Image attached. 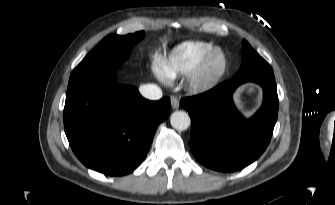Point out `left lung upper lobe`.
<instances>
[{
	"label": "left lung upper lobe",
	"instance_id": "5c2ea615",
	"mask_svg": "<svg viewBox=\"0 0 335 205\" xmlns=\"http://www.w3.org/2000/svg\"><path fill=\"white\" fill-rule=\"evenodd\" d=\"M242 53V65L234 78L259 76L275 79L270 65L253 50V48L245 39L242 42Z\"/></svg>",
	"mask_w": 335,
	"mask_h": 205
}]
</instances>
